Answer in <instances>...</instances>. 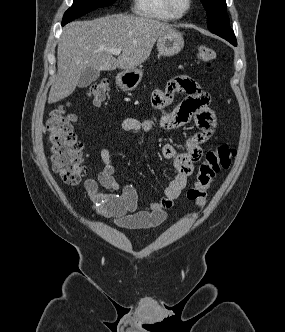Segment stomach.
<instances>
[{"label": "stomach", "instance_id": "1", "mask_svg": "<svg viewBox=\"0 0 285 332\" xmlns=\"http://www.w3.org/2000/svg\"><path fill=\"white\" fill-rule=\"evenodd\" d=\"M184 39L181 33L173 30L157 40V49L161 56H173L181 51ZM143 71L141 69L124 70L117 75L116 82L124 90H133L141 82Z\"/></svg>", "mask_w": 285, "mask_h": 332}]
</instances>
